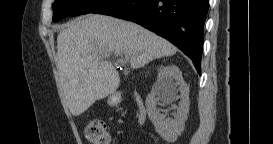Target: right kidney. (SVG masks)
Returning a JSON list of instances; mask_svg holds the SVG:
<instances>
[{"label": "right kidney", "mask_w": 273, "mask_h": 144, "mask_svg": "<svg viewBox=\"0 0 273 144\" xmlns=\"http://www.w3.org/2000/svg\"><path fill=\"white\" fill-rule=\"evenodd\" d=\"M181 91L182 102L174 114V119L166 118L156 107L158 98L171 100L176 95V87ZM148 116L156 132L166 141L174 142L183 132L189 111V87L176 66H166L160 70L154 89L146 99Z\"/></svg>", "instance_id": "obj_1"}]
</instances>
